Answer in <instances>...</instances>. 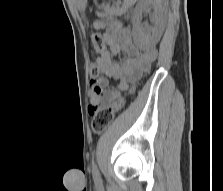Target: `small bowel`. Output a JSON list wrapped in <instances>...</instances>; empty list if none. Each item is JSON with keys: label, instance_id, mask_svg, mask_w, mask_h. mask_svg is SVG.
Returning <instances> with one entry per match:
<instances>
[{"label": "small bowel", "instance_id": "small-bowel-1", "mask_svg": "<svg viewBox=\"0 0 223 191\" xmlns=\"http://www.w3.org/2000/svg\"><path fill=\"white\" fill-rule=\"evenodd\" d=\"M112 9L100 12L101 20L95 23V28H104L103 38L108 46V50L103 55H99L96 62L100 63L99 78H92V92L90 95V105L92 108L101 107L119 96L129 87V82L137 78L142 72L151 69L157 59L155 48H141L134 40L132 33L119 23H105L108 14ZM119 53H124L126 57L121 63L113 60ZM117 82L116 89H107L106 77Z\"/></svg>", "mask_w": 223, "mask_h": 191}]
</instances>
